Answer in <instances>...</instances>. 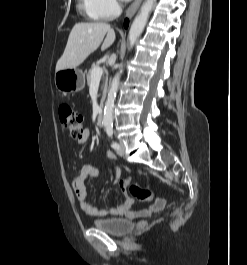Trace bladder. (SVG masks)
<instances>
[{"label": "bladder", "instance_id": "bladder-1", "mask_svg": "<svg viewBox=\"0 0 247 265\" xmlns=\"http://www.w3.org/2000/svg\"><path fill=\"white\" fill-rule=\"evenodd\" d=\"M93 227L116 237H124L135 229V224L122 218L97 219L92 221Z\"/></svg>", "mask_w": 247, "mask_h": 265}]
</instances>
